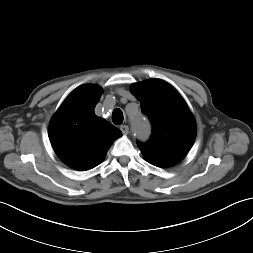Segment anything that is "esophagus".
<instances>
[{
	"label": "esophagus",
	"instance_id": "obj_1",
	"mask_svg": "<svg viewBox=\"0 0 253 253\" xmlns=\"http://www.w3.org/2000/svg\"><path fill=\"white\" fill-rule=\"evenodd\" d=\"M120 130L122 131V133H123L124 135H127V134L129 133V127H128L127 125H122V126L120 127Z\"/></svg>",
	"mask_w": 253,
	"mask_h": 253
}]
</instances>
